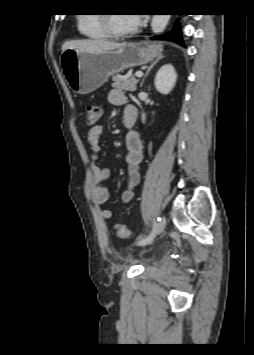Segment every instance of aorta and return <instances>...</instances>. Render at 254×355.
Returning a JSON list of instances; mask_svg holds the SVG:
<instances>
[{"label":"aorta","mask_w":254,"mask_h":355,"mask_svg":"<svg viewBox=\"0 0 254 355\" xmlns=\"http://www.w3.org/2000/svg\"><path fill=\"white\" fill-rule=\"evenodd\" d=\"M170 19V15H154L151 21V29L154 34L162 33Z\"/></svg>","instance_id":"obj_1"}]
</instances>
